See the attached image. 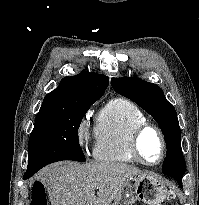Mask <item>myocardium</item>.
<instances>
[{
  "label": "myocardium",
  "mask_w": 199,
  "mask_h": 205,
  "mask_svg": "<svg viewBox=\"0 0 199 205\" xmlns=\"http://www.w3.org/2000/svg\"><path fill=\"white\" fill-rule=\"evenodd\" d=\"M147 131H154L160 139L162 152H161V156H160L159 160L156 162L147 161L143 157V155L140 151V139H141L142 135ZM129 150H130L131 155L133 156V158L137 162H139L143 165H146V166H156V165H159L160 163H162L163 160L165 159V156L167 154V141H166V138H165L162 130L158 126H156L155 124L147 122L145 124L137 126L132 131L131 136H130V140H129Z\"/></svg>",
  "instance_id": "f54148a6"
}]
</instances>
